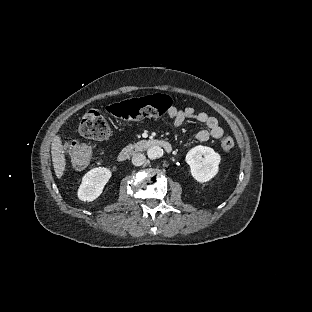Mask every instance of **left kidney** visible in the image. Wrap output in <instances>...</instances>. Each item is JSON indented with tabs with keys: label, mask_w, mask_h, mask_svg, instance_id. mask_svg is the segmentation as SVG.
I'll use <instances>...</instances> for the list:
<instances>
[{
	"label": "left kidney",
	"mask_w": 312,
	"mask_h": 312,
	"mask_svg": "<svg viewBox=\"0 0 312 312\" xmlns=\"http://www.w3.org/2000/svg\"><path fill=\"white\" fill-rule=\"evenodd\" d=\"M192 176L200 183L211 180L219 170L221 157L212 148L198 145L186 155Z\"/></svg>",
	"instance_id": "5707ae66"
}]
</instances>
